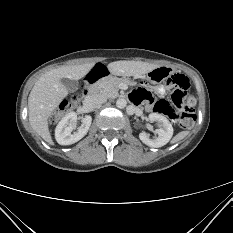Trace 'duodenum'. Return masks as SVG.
Listing matches in <instances>:
<instances>
[{
	"instance_id": "duodenum-1",
	"label": "duodenum",
	"mask_w": 233,
	"mask_h": 233,
	"mask_svg": "<svg viewBox=\"0 0 233 233\" xmlns=\"http://www.w3.org/2000/svg\"><path fill=\"white\" fill-rule=\"evenodd\" d=\"M108 75V70L105 67L104 62H99L94 71L89 73L87 77L83 78L82 82V94L83 95H88L89 93H96L97 92V80L100 78H103Z\"/></svg>"
}]
</instances>
